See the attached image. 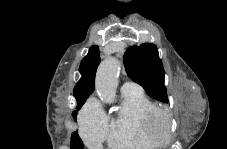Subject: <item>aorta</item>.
I'll use <instances>...</instances> for the list:
<instances>
[{
  "label": "aorta",
  "mask_w": 227,
  "mask_h": 149,
  "mask_svg": "<svg viewBox=\"0 0 227 149\" xmlns=\"http://www.w3.org/2000/svg\"><path fill=\"white\" fill-rule=\"evenodd\" d=\"M119 73L120 62L114 57L100 64L96 75V91L103 102H115Z\"/></svg>",
  "instance_id": "1"
}]
</instances>
